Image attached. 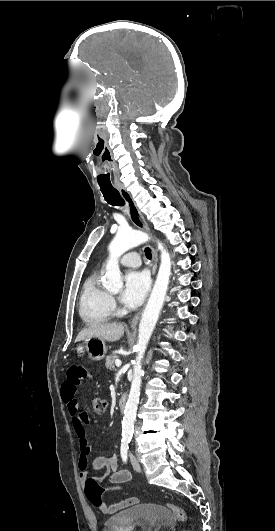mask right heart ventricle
Segmentation results:
<instances>
[{"label":"right heart ventricle","mask_w":275,"mask_h":531,"mask_svg":"<svg viewBox=\"0 0 275 531\" xmlns=\"http://www.w3.org/2000/svg\"><path fill=\"white\" fill-rule=\"evenodd\" d=\"M79 311L88 324L106 323L112 316L110 295L100 285L97 274H90L81 286Z\"/></svg>","instance_id":"e07e8e85"}]
</instances>
